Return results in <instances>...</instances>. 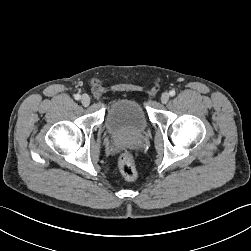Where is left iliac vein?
<instances>
[{"instance_id": "left-iliac-vein-1", "label": "left iliac vein", "mask_w": 251, "mask_h": 251, "mask_svg": "<svg viewBox=\"0 0 251 251\" xmlns=\"http://www.w3.org/2000/svg\"><path fill=\"white\" fill-rule=\"evenodd\" d=\"M170 96H169V93L167 92H164L162 95H161V102L163 104H166L169 100Z\"/></svg>"}]
</instances>
